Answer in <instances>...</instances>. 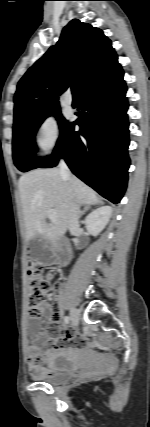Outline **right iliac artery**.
Wrapping results in <instances>:
<instances>
[{
  "instance_id": "1",
  "label": "right iliac artery",
  "mask_w": 150,
  "mask_h": 427,
  "mask_svg": "<svg viewBox=\"0 0 150 427\" xmlns=\"http://www.w3.org/2000/svg\"><path fill=\"white\" fill-rule=\"evenodd\" d=\"M69 321H70V317H69V316H65V317H64V322H65L66 324H68V323H69Z\"/></svg>"
}]
</instances>
